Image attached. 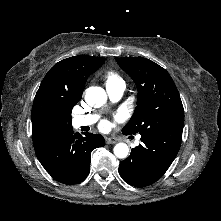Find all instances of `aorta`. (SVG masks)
Listing matches in <instances>:
<instances>
[{
  "instance_id": "762f6f07",
  "label": "aorta",
  "mask_w": 221,
  "mask_h": 221,
  "mask_svg": "<svg viewBox=\"0 0 221 221\" xmlns=\"http://www.w3.org/2000/svg\"><path fill=\"white\" fill-rule=\"evenodd\" d=\"M85 100L90 106H101L106 102L107 95L103 88L92 86L86 90ZM113 151L117 158L124 159L128 156L129 148L125 143H118Z\"/></svg>"
}]
</instances>
